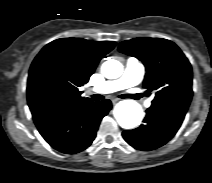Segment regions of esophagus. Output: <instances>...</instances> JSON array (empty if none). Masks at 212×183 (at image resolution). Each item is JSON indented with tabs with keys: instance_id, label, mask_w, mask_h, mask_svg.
Returning a JSON list of instances; mask_svg holds the SVG:
<instances>
[{
	"instance_id": "1",
	"label": "esophagus",
	"mask_w": 212,
	"mask_h": 183,
	"mask_svg": "<svg viewBox=\"0 0 212 183\" xmlns=\"http://www.w3.org/2000/svg\"><path fill=\"white\" fill-rule=\"evenodd\" d=\"M111 101H112V103H113V104H115L116 102H118V101H119V99H118V98H112V100H111Z\"/></svg>"
}]
</instances>
